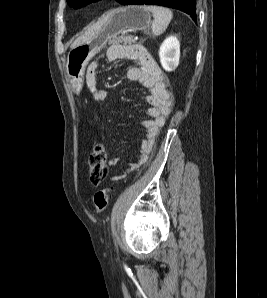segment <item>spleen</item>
<instances>
[{
  "instance_id": "obj_1",
  "label": "spleen",
  "mask_w": 267,
  "mask_h": 298,
  "mask_svg": "<svg viewBox=\"0 0 267 298\" xmlns=\"http://www.w3.org/2000/svg\"><path fill=\"white\" fill-rule=\"evenodd\" d=\"M153 15L152 33L159 36L165 32L169 23L172 20L173 13L170 9L161 6H143Z\"/></svg>"
}]
</instances>
